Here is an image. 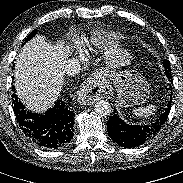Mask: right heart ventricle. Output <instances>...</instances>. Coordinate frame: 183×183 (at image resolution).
<instances>
[{
  "label": "right heart ventricle",
  "mask_w": 183,
  "mask_h": 183,
  "mask_svg": "<svg viewBox=\"0 0 183 183\" xmlns=\"http://www.w3.org/2000/svg\"><path fill=\"white\" fill-rule=\"evenodd\" d=\"M96 41H97V40H92L90 43H91V44H94ZM88 45H90V44L88 43Z\"/></svg>",
  "instance_id": "1"
}]
</instances>
